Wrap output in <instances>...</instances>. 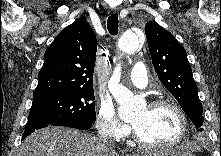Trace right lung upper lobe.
I'll return each mask as SVG.
<instances>
[{
    "label": "right lung upper lobe",
    "instance_id": "cb5924a9",
    "mask_svg": "<svg viewBox=\"0 0 221 156\" xmlns=\"http://www.w3.org/2000/svg\"><path fill=\"white\" fill-rule=\"evenodd\" d=\"M96 37L85 18L63 29L47 48L33 98L93 89Z\"/></svg>",
    "mask_w": 221,
    "mask_h": 156
}]
</instances>
